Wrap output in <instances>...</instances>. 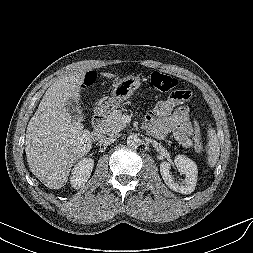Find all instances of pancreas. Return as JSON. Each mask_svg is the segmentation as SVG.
Here are the masks:
<instances>
[{
    "instance_id": "cf45deb5",
    "label": "pancreas",
    "mask_w": 253,
    "mask_h": 253,
    "mask_svg": "<svg viewBox=\"0 0 253 253\" xmlns=\"http://www.w3.org/2000/svg\"><path fill=\"white\" fill-rule=\"evenodd\" d=\"M126 127L121 110H114L103 124L104 134H117ZM170 144L171 142L168 141Z\"/></svg>"
}]
</instances>
